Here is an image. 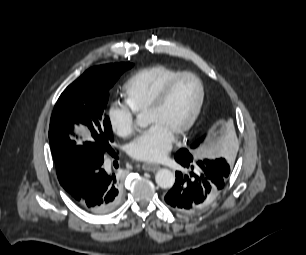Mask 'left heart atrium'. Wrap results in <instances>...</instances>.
<instances>
[{
    "instance_id": "1",
    "label": "left heart atrium",
    "mask_w": 306,
    "mask_h": 255,
    "mask_svg": "<svg viewBox=\"0 0 306 255\" xmlns=\"http://www.w3.org/2000/svg\"><path fill=\"white\" fill-rule=\"evenodd\" d=\"M173 141L174 135L168 129L154 123L130 143L128 153L136 160L160 161L171 150Z\"/></svg>"
}]
</instances>
